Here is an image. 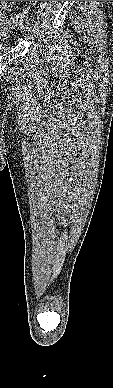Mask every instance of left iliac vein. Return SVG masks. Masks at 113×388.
<instances>
[{
	"label": "left iliac vein",
	"instance_id": "4c4485c4",
	"mask_svg": "<svg viewBox=\"0 0 113 388\" xmlns=\"http://www.w3.org/2000/svg\"><path fill=\"white\" fill-rule=\"evenodd\" d=\"M22 33L24 34H29L31 30V24L26 23L25 25L22 26Z\"/></svg>",
	"mask_w": 113,
	"mask_h": 388
}]
</instances>
